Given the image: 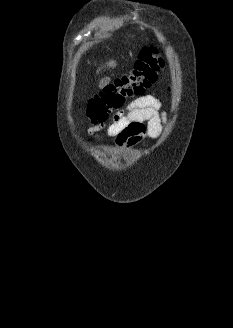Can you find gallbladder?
Returning a JSON list of instances; mask_svg holds the SVG:
<instances>
[{
    "label": "gallbladder",
    "instance_id": "gallbladder-1",
    "mask_svg": "<svg viewBox=\"0 0 233 328\" xmlns=\"http://www.w3.org/2000/svg\"><path fill=\"white\" fill-rule=\"evenodd\" d=\"M109 82H110L109 78L102 79V81L100 82V87L102 88V87L106 86Z\"/></svg>",
    "mask_w": 233,
    "mask_h": 328
}]
</instances>
